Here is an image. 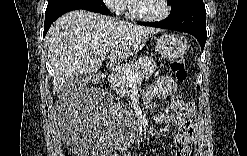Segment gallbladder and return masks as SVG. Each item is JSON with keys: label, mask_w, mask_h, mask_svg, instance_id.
Instances as JSON below:
<instances>
[{"label": "gallbladder", "mask_w": 247, "mask_h": 156, "mask_svg": "<svg viewBox=\"0 0 247 156\" xmlns=\"http://www.w3.org/2000/svg\"><path fill=\"white\" fill-rule=\"evenodd\" d=\"M88 80H89V77H87L85 75L75 76L73 80L69 81L64 86L63 92H61V93L69 95V94L73 93V91L75 89H77V86H82V85L86 84Z\"/></svg>", "instance_id": "bac80fb5"}]
</instances>
